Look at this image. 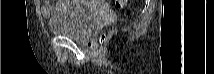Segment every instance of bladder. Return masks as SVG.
<instances>
[{
    "label": "bladder",
    "instance_id": "bladder-1",
    "mask_svg": "<svg viewBox=\"0 0 214 74\" xmlns=\"http://www.w3.org/2000/svg\"><path fill=\"white\" fill-rule=\"evenodd\" d=\"M72 4L56 9L50 19V30L54 35L86 40L99 24L101 14L87 1H70Z\"/></svg>",
    "mask_w": 214,
    "mask_h": 74
}]
</instances>
